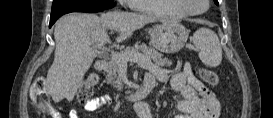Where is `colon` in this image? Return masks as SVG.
Listing matches in <instances>:
<instances>
[{
  "label": "colon",
  "instance_id": "1",
  "mask_svg": "<svg viewBox=\"0 0 273 118\" xmlns=\"http://www.w3.org/2000/svg\"><path fill=\"white\" fill-rule=\"evenodd\" d=\"M199 75L210 85H217L219 79L217 75L207 68H200ZM99 78L96 74H90L85 81L82 83L79 92L77 94V99L79 102H85L88 97L92 94L93 89L97 86ZM46 82L43 77H37L31 88V100L33 104L39 110L46 111L48 113L53 112V108L50 103L49 94L45 88Z\"/></svg>",
  "mask_w": 273,
  "mask_h": 118
}]
</instances>
